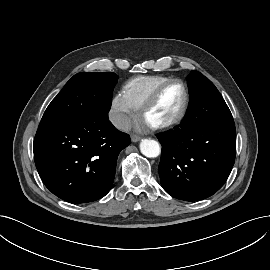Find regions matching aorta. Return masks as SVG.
Here are the masks:
<instances>
[{"mask_svg": "<svg viewBox=\"0 0 270 270\" xmlns=\"http://www.w3.org/2000/svg\"><path fill=\"white\" fill-rule=\"evenodd\" d=\"M140 151L148 158H155L159 156L161 148L157 141L146 138L142 139L140 142Z\"/></svg>", "mask_w": 270, "mask_h": 270, "instance_id": "obj_1", "label": "aorta"}]
</instances>
